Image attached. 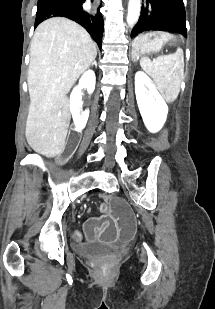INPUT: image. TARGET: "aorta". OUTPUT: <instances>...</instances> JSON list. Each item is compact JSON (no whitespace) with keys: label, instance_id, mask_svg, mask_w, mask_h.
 <instances>
[{"label":"aorta","instance_id":"obj_1","mask_svg":"<svg viewBox=\"0 0 215 309\" xmlns=\"http://www.w3.org/2000/svg\"><path fill=\"white\" fill-rule=\"evenodd\" d=\"M141 10V0H129L127 24L132 28L136 24Z\"/></svg>","mask_w":215,"mask_h":309}]
</instances>
